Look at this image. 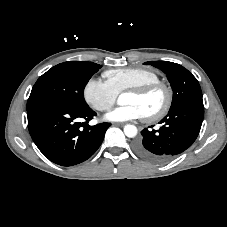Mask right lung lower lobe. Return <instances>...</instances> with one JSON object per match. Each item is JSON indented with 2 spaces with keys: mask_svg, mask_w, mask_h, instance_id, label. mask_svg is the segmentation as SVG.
Returning <instances> with one entry per match:
<instances>
[{
  "mask_svg": "<svg viewBox=\"0 0 227 227\" xmlns=\"http://www.w3.org/2000/svg\"><path fill=\"white\" fill-rule=\"evenodd\" d=\"M96 112L89 106L42 103L27 109L30 135L50 161L61 166L79 164L100 147L110 123L88 125ZM85 119V122H79Z\"/></svg>",
  "mask_w": 227,
  "mask_h": 227,
  "instance_id": "98d812e1",
  "label": "right lung lower lobe"
}]
</instances>
